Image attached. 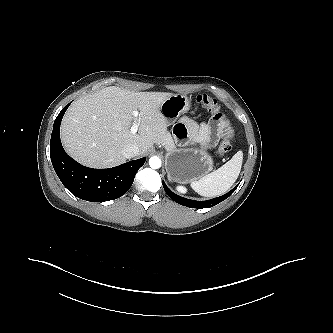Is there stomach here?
<instances>
[{
  "instance_id": "1",
  "label": "stomach",
  "mask_w": 333,
  "mask_h": 333,
  "mask_svg": "<svg viewBox=\"0 0 333 333\" xmlns=\"http://www.w3.org/2000/svg\"><path fill=\"white\" fill-rule=\"evenodd\" d=\"M191 106L190 99L182 94H174L166 99L160 111L167 122L175 123ZM213 169V159L205 149L196 147L168 151L166 170L170 180L185 184L197 180Z\"/></svg>"
}]
</instances>
